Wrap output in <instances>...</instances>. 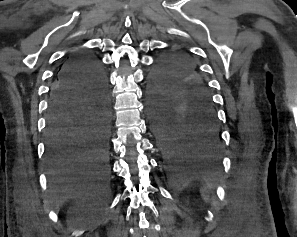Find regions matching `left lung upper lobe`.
<instances>
[{
    "label": "left lung upper lobe",
    "instance_id": "1",
    "mask_svg": "<svg viewBox=\"0 0 297 237\" xmlns=\"http://www.w3.org/2000/svg\"><path fill=\"white\" fill-rule=\"evenodd\" d=\"M148 97L150 103L175 106L195 100L212 104L208 85L192 60L179 50L169 52L151 72Z\"/></svg>",
    "mask_w": 297,
    "mask_h": 237
}]
</instances>
